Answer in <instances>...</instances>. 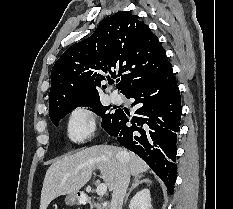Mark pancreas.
<instances>
[{
	"label": "pancreas",
	"mask_w": 233,
	"mask_h": 209,
	"mask_svg": "<svg viewBox=\"0 0 233 209\" xmlns=\"http://www.w3.org/2000/svg\"><path fill=\"white\" fill-rule=\"evenodd\" d=\"M94 208L95 209H100V207L97 204L92 205L90 209H94Z\"/></svg>",
	"instance_id": "1"
}]
</instances>
